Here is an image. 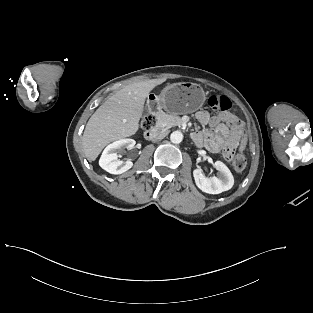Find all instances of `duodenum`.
<instances>
[{
	"label": "duodenum",
	"instance_id": "obj_1",
	"mask_svg": "<svg viewBox=\"0 0 313 313\" xmlns=\"http://www.w3.org/2000/svg\"><path fill=\"white\" fill-rule=\"evenodd\" d=\"M157 135H158V130L155 127L151 128L149 130H146V132H145V137L148 140L155 139L157 137Z\"/></svg>",
	"mask_w": 313,
	"mask_h": 313
}]
</instances>
